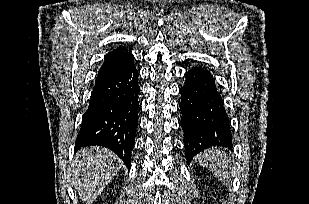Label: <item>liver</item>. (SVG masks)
Here are the masks:
<instances>
[{"instance_id": "6515ba94", "label": "liver", "mask_w": 309, "mask_h": 204, "mask_svg": "<svg viewBox=\"0 0 309 204\" xmlns=\"http://www.w3.org/2000/svg\"><path fill=\"white\" fill-rule=\"evenodd\" d=\"M121 167L120 159L108 149L87 147L73 161L72 185L82 201L92 203Z\"/></svg>"}]
</instances>
